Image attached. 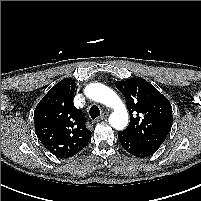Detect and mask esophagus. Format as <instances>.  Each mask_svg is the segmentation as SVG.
Masks as SVG:
<instances>
[{
  "mask_svg": "<svg viewBox=\"0 0 201 201\" xmlns=\"http://www.w3.org/2000/svg\"><path fill=\"white\" fill-rule=\"evenodd\" d=\"M108 115H109V113L107 111L103 112V114L96 120V122L106 119L108 117Z\"/></svg>",
  "mask_w": 201,
  "mask_h": 201,
  "instance_id": "1",
  "label": "esophagus"
}]
</instances>
